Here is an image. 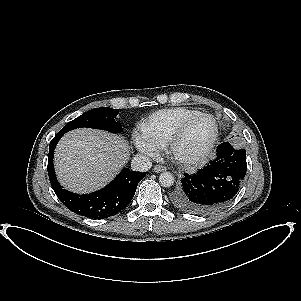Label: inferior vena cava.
<instances>
[{
	"label": "inferior vena cava",
	"mask_w": 301,
	"mask_h": 301,
	"mask_svg": "<svg viewBox=\"0 0 301 301\" xmlns=\"http://www.w3.org/2000/svg\"><path fill=\"white\" fill-rule=\"evenodd\" d=\"M151 166V159L146 155H135L131 161V169L133 171L146 172Z\"/></svg>",
	"instance_id": "obj_1"
}]
</instances>
